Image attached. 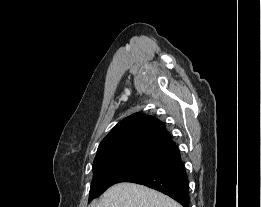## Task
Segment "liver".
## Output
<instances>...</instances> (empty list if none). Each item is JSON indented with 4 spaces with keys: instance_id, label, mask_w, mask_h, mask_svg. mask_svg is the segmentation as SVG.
Here are the masks:
<instances>
[{
    "instance_id": "6515ba94",
    "label": "liver",
    "mask_w": 261,
    "mask_h": 207,
    "mask_svg": "<svg viewBox=\"0 0 261 207\" xmlns=\"http://www.w3.org/2000/svg\"><path fill=\"white\" fill-rule=\"evenodd\" d=\"M89 207H182L170 197L134 183H118L110 187L102 199Z\"/></svg>"
}]
</instances>
